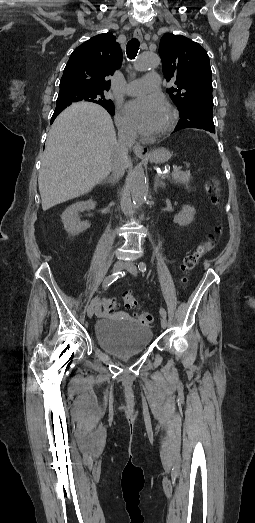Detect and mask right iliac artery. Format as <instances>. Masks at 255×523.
<instances>
[{"instance_id": "1", "label": "right iliac artery", "mask_w": 255, "mask_h": 523, "mask_svg": "<svg viewBox=\"0 0 255 523\" xmlns=\"http://www.w3.org/2000/svg\"><path fill=\"white\" fill-rule=\"evenodd\" d=\"M125 275V272H116L112 275H109L106 277L103 281V288L106 289L109 287L114 281H116L119 277H123ZM98 296H96L92 301L91 304L96 305L98 302Z\"/></svg>"}]
</instances>
